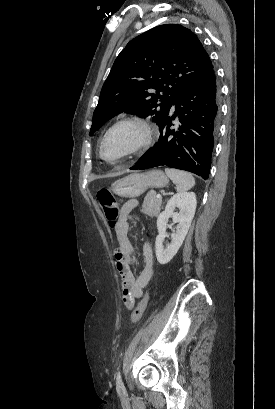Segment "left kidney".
<instances>
[{
    "mask_svg": "<svg viewBox=\"0 0 275 409\" xmlns=\"http://www.w3.org/2000/svg\"><path fill=\"white\" fill-rule=\"evenodd\" d=\"M197 205L195 192H177L168 200L165 211L160 213L157 219L158 235L155 241L156 257L160 265H167L177 251H179L192 223ZM180 213H174L175 209ZM169 217H173V223H179L176 233L171 235V243L164 247L163 241L166 235Z\"/></svg>",
    "mask_w": 275,
    "mask_h": 409,
    "instance_id": "5707ae66",
    "label": "left kidney"
}]
</instances>
